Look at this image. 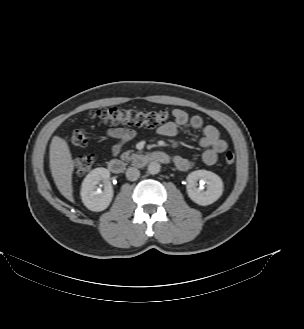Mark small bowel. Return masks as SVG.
<instances>
[{
  "instance_id": "c3829d8e",
  "label": "small bowel",
  "mask_w": 304,
  "mask_h": 329,
  "mask_svg": "<svg viewBox=\"0 0 304 329\" xmlns=\"http://www.w3.org/2000/svg\"><path fill=\"white\" fill-rule=\"evenodd\" d=\"M172 120L157 128V133L164 137L179 136L183 129L200 130L202 137L199 145L205 148L202 154V162L207 166H212L217 162L218 156L223 154L227 148V142L220 137L217 128L210 124H205L199 115H189L183 109H173ZM135 136V131L127 127H114L107 131V137L113 144L111 152L118 155L124 145ZM174 165L182 171H187L193 166L192 160L187 156L175 155L172 157Z\"/></svg>"
}]
</instances>
